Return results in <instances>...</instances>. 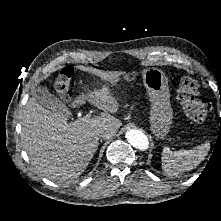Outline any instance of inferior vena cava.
Segmentation results:
<instances>
[{
  "mask_svg": "<svg viewBox=\"0 0 221 221\" xmlns=\"http://www.w3.org/2000/svg\"><path fill=\"white\" fill-rule=\"evenodd\" d=\"M100 136L103 137V138H106L108 136V134L105 131H101Z\"/></svg>",
  "mask_w": 221,
  "mask_h": 221,
  "instance_id": "1",
  "label": "inferior vena cava"
}]
</instances>
